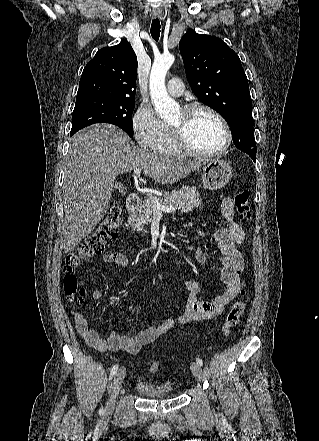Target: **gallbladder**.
Wrapping results in <instances>:
<instances>
[{
	"label": "gallbladder",
	"mask_w": 319,
	"mask_h": 441,
	"mask_svg": "<svg viewBox=\"0 0 319 441\" xmlns=\"http://www.w3.org/2000/svg\"><path fill=\"white\" fill-rule=\"evenodd\" d=\"M115 189H117L121 193L123 191L124 187L121 183H116Z\"/></svg>",
	"instance_id": "gallbladder-1"
}]
</instances>
